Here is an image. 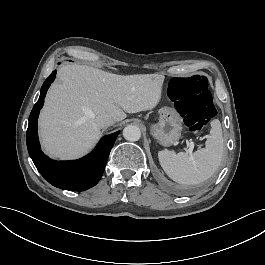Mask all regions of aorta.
<instances>
[{"label":"aorta","mask_w":265,"mask_h":265,"mask_svg":"<svg viewBox=\"0 0 265 265\" xmlns=\"http://www.w3.org/2000/svg\"><path fill=\"white\" fill-rule=\"evenodd\" d=\"M123 136L128 141H138L141 137V131L137 126L128 125L123 130Z\"/></svg>","instance_id":"obj_1"}]
</instances>
